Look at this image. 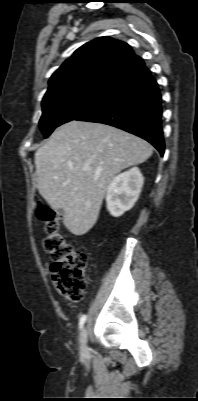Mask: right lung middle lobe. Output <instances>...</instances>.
I'll use <instances>...</instances> for the list:
<instances>
[{
	"label": "right lung middle lobe",
	"mask_w": 198,
	"mask_h": 401,
	"mask_svg": "<svg viewBox=\"0 0 198 401\" xmlns=\"http://www.w3.org/2000/svg\"><path fill=\"white\" fill-rule=\"evenodd\" d=\"M108 88L84 86L44 98L42 101L43 114L39 122L44 137L47 138L56 127L75 120L94 107Z\"/></svg>",
	"instance_id": "dd1d6c3e"
}]
</instances>
